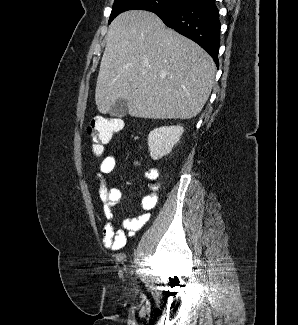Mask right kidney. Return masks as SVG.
I'll list each match as a JSON object with an SVG mask.
<instances>
[{"instance_id":"ca27d5eb","label":"right kidney","mask_w":298,"mask_h":325,"mask_svg":"<svg viewBox=\"0 0 298 325\" xmlns=\"http://www.w3.org/2000/svg\"><path fill=\"white\" fill-rule=\"evenodd\" d=\"M183 132L184 126H180V124L159 126V128L150 130L147 140L151 158L159 160L164 154H169L174 144L179 142Z\"/></svg>"}]
</instances>
